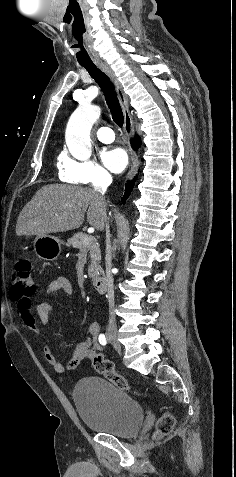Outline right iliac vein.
I'll return each instance as SVG.
<instances>
[{
    "mask_svg": "<svg viewBox=\"0 0 236 477\" xmlns=\"http://www.w3.org/2000/svg\"><path fill=\"white\" fill-rule=\"evenodd\" d=\"M108 340L118 352H121V346L118 342V337H117V334L115 332H110L109 333Z\"/></svg>",
    "mask_w": 236,
    "mask_h": 477,
    "instance_id": "1",
    "label": "right iliac vein"
}]
</instances>
